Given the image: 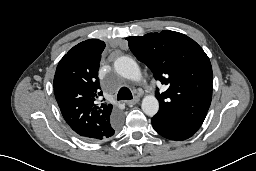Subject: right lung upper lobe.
I'll list each match as a JSON object with an SVG mask.
<instances>
[{
  "mask_svg": "<svg viewBox=\"0 0 256 171\" xmlns=\"http://www.w3.org/2000/svg\"><path fill=\"white\" fill-rule=\"evenodd\" d=\"M105 43L83 41L60 60L53 81L54 94L67 124L88 141L113 135L110 123L118 115L103 95L98 70Z\"/></svg>",
  "mask_w": 256,
  "mask_h": 171,
  "instance_id": "obj_1",
  "label": "right lung upper lobe"
}]
</instances>
